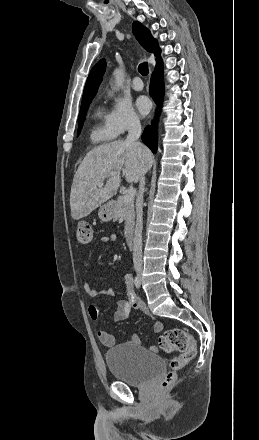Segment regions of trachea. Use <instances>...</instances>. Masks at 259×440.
I'll list each match as a JSON object with an SVG mask.
<instances>
[{
    "instance_id": "trachea-1",
    "label": "trachea",
    "mask_w": 259,
    "mask_h": 440,
    "mask_svg": "<svg viewBox=\"0 0 259 440\" xmlns=\"http://www.w3.org/2000/svg\"><path fill=\"white\" fill-rule=\"evenodd\" d=\"M138 71L143 76L148 75V63L147 62H143V63L139 64Z\"/></svg>"
}]
</instances>
